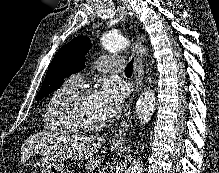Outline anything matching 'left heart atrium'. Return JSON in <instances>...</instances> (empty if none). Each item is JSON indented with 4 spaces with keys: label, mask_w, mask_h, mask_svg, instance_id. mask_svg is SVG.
Here are the masks:
<instances>
[{
    "label": "left heart atrium",
    "mask_w": 219,
    "mask_h": 173,
    "mask_svg": "<svg viewBox=\"0 0 219 173\" xmlns=\"http://www.w3.org/2000/svg\"><path fill=\"white\" fill-rule=\"evenodd\" d=\"M125 90L113 82H105L95 93L96 101L105 118L115 116L119 113L124 98Z\"/></svg>",
    "instance_id": "39dd6f15"
}]
</instances>
